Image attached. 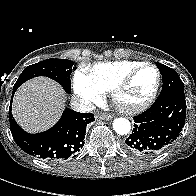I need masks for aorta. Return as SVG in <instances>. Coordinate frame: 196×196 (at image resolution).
<instances>
[{
  "label": "aorta",
  "instance_id": "1",
  "mask_svg": "<svg viewBox=\"0 0 196 196\" xmlns=\"http://www.w3.org/2000/svg\"><path fill=\"white\" fill-rule=\"evenodd\" d=\"M113 129L119 135H127L130 132L131 124L126 118H116L113 121Z\"/></svg>",
  "mask_w": 196,
  "mask_h": 196
}]
</instances>
